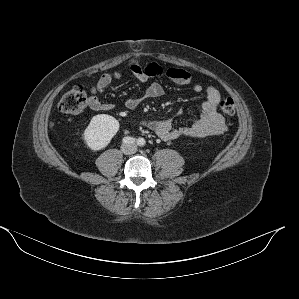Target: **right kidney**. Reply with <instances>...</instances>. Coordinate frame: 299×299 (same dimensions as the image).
I'll return each instance as SVG.
<instances>
[{
  "label": "right kidney",
  "mask_w": 299,
  "mask_h": 299,
  "mask_svg": "<svg viewBox=\"0 0 299 299\" xmlns=\"http://www.w3.org/2000/svg\"><path fill=\"white\" fill-rule=\"evenodd\" d=\"M119 130V122L107 114L94 116L83 133L85 143L92 151L105 148Z\"/></svg>",
  "instance_id": "obj_1"
}]
</instances>
